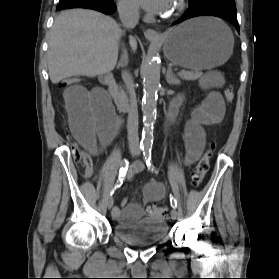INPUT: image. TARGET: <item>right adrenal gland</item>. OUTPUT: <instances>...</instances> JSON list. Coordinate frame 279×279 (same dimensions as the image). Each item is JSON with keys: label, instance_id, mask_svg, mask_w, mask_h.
<instances>
[{"label": "right adrenal gland", "instance_id": "right-adrenal-gland-1", "mask_svg": "<svg viewBox=\"0 0 279 279\" xmlns=\"http://www.w3.org/2000/svg\"><path fill=\"white\" fill-rule=\"evenodd\" d=\"M127 64H128V55H127V51L124 49L122 57L117 64V68L125 67L127 66Z\"/></svg>", "mask_w": 279, "mask_h": 279}]
</instances>
